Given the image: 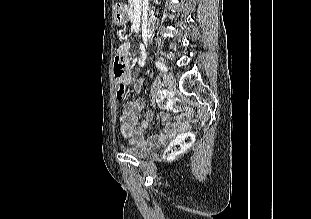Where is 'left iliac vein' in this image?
Wrapping results in <instances>:
<instances>
[{"label":"left iliac vein","mask_w":311,"mask_h":219,"mask_svg":"<svg viewBox=\"0 0 311 219\" xmlns=\"http://www.w3.org/2000/svg\"><path fill=\"white\" fill-rule=\"evenodd\" d=\"M163 82L165 86L170 90H173L176 86L174 75L171 72H165L163 74Z\"/></svg>","instance_id":"obj_1"}]
</instances>
